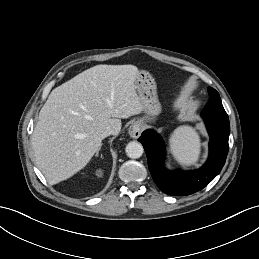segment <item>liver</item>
Returning a JSON list of instances; mask_svg holds the SVG:
<instances>
[{"instance_id": "obj_1", "label": "liver", "mask_w": 259, "mask_h": 259, "mask_svg": "<svg viewBox=\"0 0 259 259\" xmlns=\"http://www.w3.org/2000/svg\"><path fill=\"white\" fill-rule=\"evenodd\" d=\"M133 65H96L56 87L39 112L32 135L35 163L51 184L83 169L100 150L102 133L143 111Z\"/></svg>"}]
</instances>
